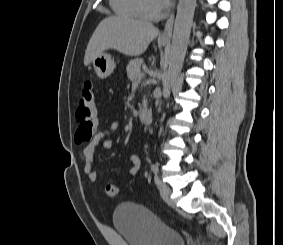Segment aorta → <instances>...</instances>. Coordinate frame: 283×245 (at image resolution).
I'll return each mask as SVG.
<instances>
[{"label": "aorta", "instance_id": "1", "mask_svg": "<svg viewBox=\"0 0 283 245\" xmlns=\"http://www.w3.org/2000/svg\"><path fill=\"white\" fill-rule=\"evenodd\" d=\"M195 7L196 0H179L168 68L163 79V94L169 92L172 82L177 78L182 69L193 23Z\"/></svg>", "mask_w": 283, "mask_h": 245}]
</instances>
